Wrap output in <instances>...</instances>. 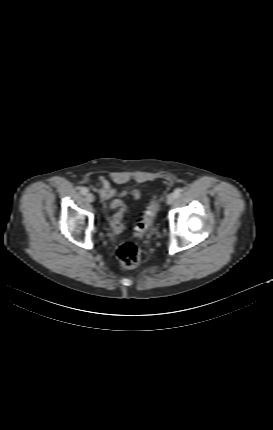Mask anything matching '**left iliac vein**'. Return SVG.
I'll use <instances>...</instances> for the list:
<instances>
[{"label":"left iliac vein","instance_id":"1","mask_svg":"<svg viewBox=\"0 0 273 430\" xmlns=\"http://www.w3.org/2000/svg\"><path fill=\"white\" fill-rule=\"evenodd\" d=\"M175 199H176V197H175L174 193H171L167 196L166 202H167V204L171 205L174 203Z\"/></svg>","mask_w":273,"mask_h":430}]
</instances>
